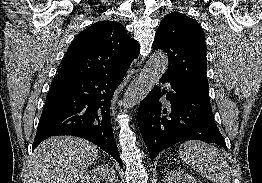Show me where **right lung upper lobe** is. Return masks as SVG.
Returning a JSON list of instances; mask_svg holds the SVG:
<instances>
[{"mask_svg": "<svg viewBox=\"0 0 262 183\" xmlns=\"http://www.w3.org/2000/svg\"><path fill=\"white\" fill-rule=\"evenodd\" d=\"M140 47L116 21H99L80 32L68 47L55 80L127 71Z\"/></svg>", "mask_w": 262, "mask_h": 183, "instance_id": "obj_1", "label": "right lung upper lobe"}]
</instances>
